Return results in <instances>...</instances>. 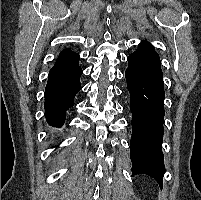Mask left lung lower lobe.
Returning <instances> with one entry per match:
<instances>
[{
    "label": "left lung lower lobe",
    "instance_id": "1",
    "mask_svg": "<svg viewBox=\"0 0 201 200\" xmlns=\"http://www.w3.org/2000/svg\"><path fill=\"white\" fill-rule=\"evenodd\" d=\"M125 71L130 92L132 174L153 177L162 189L165 173L162 153L164 122L163 73L158 54L137 53L127 58Z\"/></svg>",
    "mask_w": 201,
    "mask_h": 200
}]
</instances>
